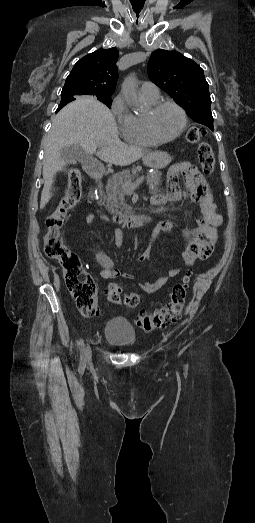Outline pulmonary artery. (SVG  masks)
Returning <instances> with one entry per match:
<instances>
[{"mask_svg": "<svg viewBox=\"0 0 255 523\" xmlns=\"http://www.w3.org/2000/svg\"><path fill=\"white\" fill-rule=\"evenodd\" d=\"M140 93L145 96L156 98L159 97L160 91L155 84L151 82H144L140 88Z\"/></svg>", "mask_w": 255, "mask_h": 523, "instance_id": "1", "label": "pulmonary artery"}]
</instances>
